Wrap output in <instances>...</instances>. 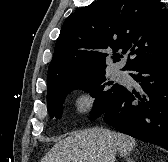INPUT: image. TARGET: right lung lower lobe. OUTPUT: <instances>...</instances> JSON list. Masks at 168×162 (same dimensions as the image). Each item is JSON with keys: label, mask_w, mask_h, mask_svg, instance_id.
<instances>
[{"label": "right lung lower lobe", "mask_w": 168, "mask_h": 162, "mask_svg": "<svg viewBox=\"0 0 168 162\" xmlns=\"http://www.w3.org/2000/svg\"><path fill=\"white\" fill-rule=\"evenodd\" d=\"M141 91L125 87L103 113L107 124L168 150V52L135 66Z\"/></svg>", "instance_id": "1"}]
</instances>
